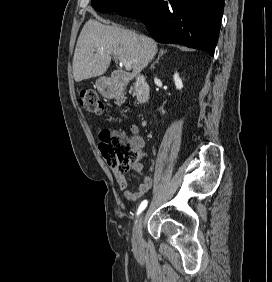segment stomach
I'll list each match as a JSON object with an SVG mask.
<instances>
[{"mask_svg":"<svg viewBox=\"0 0 272 282\" xmlns=\"http://www.w3.org/2000/svg\"><path fill=\"white\" fill-rule=\"evenodd\" d=\"M97 85H98L99 89L102 91L103 89L101 87V80L98 81Z\"/></svg>","mask_w":272,"mask_h":282,"instance_id":"stomach-1","label":"stomach"}]
</instances>
